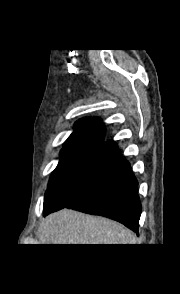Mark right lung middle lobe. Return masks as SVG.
Instances as JSON below:
<instances>
[{
    "instance_id": "obj_1",
    "label": "right lung middle lobe",
    "mask_w": 180,
    "mask_h": 294,
    "mask_svg": "<svg viewBox=\"0 0 180 294\" xmlns=\"http://www.w3.org/2000/svg\"><path fill=\"white\" fill-rule=\"evenodd\" d=\"M100 145L94 143L66 144L61 150L58 166L53 171L44 198V208L60 193L75 177L84 163Z\"/></svg>"
}]
</instances>
